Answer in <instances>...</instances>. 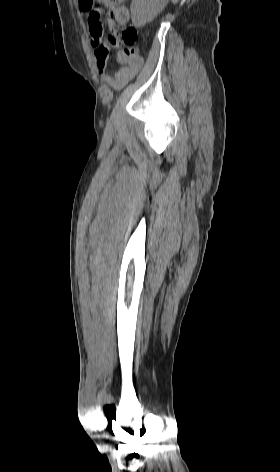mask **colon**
<instances>
[{
    "instance_id": "1",
    "label": "colon",
    "mask_w": 280,
    "mask_h": 472,
    "mask_svg": "<svg viewBox=\"0 0 280 472\" xmlns=\"http://www.w3.org/2000/svg\"><path fill=\"white\" fill-rule=\"evenodd\" d=\"M119 1L120 0L114 2ZM81 2L83 7L87 8L88 11H91L89 14L88 22L91 24L99 23L101 21V9L93 8L94 0H82ZM137 35V30L133 26H126L120 34L122 44L125 47L124 53L129 57L137 55V49L135 46Z\"/></svg>"
}]
</instances>
